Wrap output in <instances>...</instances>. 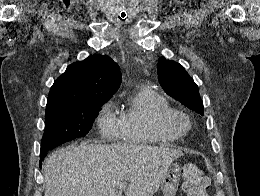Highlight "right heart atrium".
<instances>
[{
    "label": "right heart atrium",
    "instance_id": "obj_1",
    "mask_svg": "<svg viewBox=\"0 0 260 196\" xmlns=\"http://www.w3.org/2000/svg\"><path fill=\"white\" fill-rule=\"evenodd\" d=\"M97 126L99 132L110 138L120 127V120L116 117L111 104L106 103L97 115ZM126 192H146V190H126Z\"/></svg>",
    "mask_w": 260,
    "mask_h": 196
}]
</instances>
